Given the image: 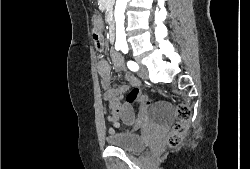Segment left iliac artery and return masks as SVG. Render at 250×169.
Segmentation results:
<instances>
[{
	"label": "left iliac artery",
	"mask_w": 250,
	"mask_h": 169,
	"mask_svg": "<svg viewBox=\"0 0 250 169\" xmlns=\"http://www.w3.org/2000/svg\"><path fill=\"white\" fill-rule=\"evenodd\" d=\"M123 51V53L124 54H126L127 52H128V50H122ZM127 66H128V68L131 70V71H138V69H139V66H138V64L136 63V62H134V61H128L127 62Z\"/></svg>",
	"instance_id": "1"
}]
</instances>
